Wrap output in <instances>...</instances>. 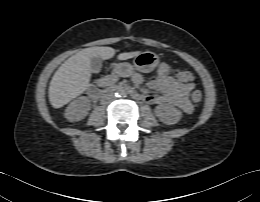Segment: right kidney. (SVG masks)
<instances>
[{"label":"right kidney","mask_w":260,"mask_h":202,"mask_svg":"<svg viewBox=\"0 0 260 202\" xmlns=\"http://www.w3.org/2000/svg\"><path fill=\"white\" fill-rule=\"evenodd\" d=\"M90 110V100L81 96L72 101L65 110V118L68 121H80L84 119Z\"/></svg>","instance_id":"1"}]
</instances>
